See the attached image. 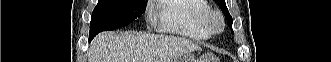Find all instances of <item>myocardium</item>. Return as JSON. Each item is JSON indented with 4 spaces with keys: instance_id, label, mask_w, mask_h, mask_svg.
<instances>
[{
    "instance_id": "f54148a6",
    "label": "myocardium",
    "mask_w": 331,
    "mask_h": 62,
    "mask_svg": "<svg viewBox=\"0 0 331 62\" xmlns=\"http://www.w3.org/2000/svg\"><path fill=\"white\" fill-rule=\"evenodd\" d=\"M204 22L212 33H219L224 28V18L219 10L210 9L204 15Z\"/></svg>"
}]
</instances>
